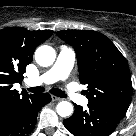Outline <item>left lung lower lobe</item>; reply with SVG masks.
<instances>
[{"mask_svg":"<svg viewBox=\"0 0 136 136\" xmlns=\"http://www.w3.org/2000/svg\"><path fill=\"white\" fill-rule=\"evenodd\" d=\"M125 114L123 110L94 103H88L86 110L75 104L74 114L63 123L74 136H107Z\"/></svg>","mask_w":136,"mask_h":136,"instance_id":"1","label":"left lung lower lobe"}]
</instances>
